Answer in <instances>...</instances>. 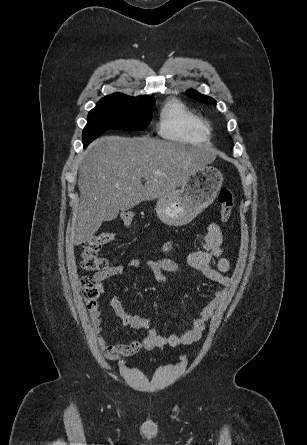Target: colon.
Returning <instances> with one entry per match:
<instances>
[{"label":"colon","mask_w":307,"mask_h":445,"mask_svg":"<svg viewBox=\"0 0 307 445\" xmlns=\"http://www.w3.org/2000/svg\"><path fill=\"white\" fill-rule=\"evenodd\" d=\"M218 202L220 204V220L225 222L229 219L233 209V195L230 189L222 188L218 194ZM124 223H131L133 216L130 212L122 215ZM114 239L111 232H102L91 237L84 244L81 252V266L87 271H103L108 268V261L99 256V251ZM168 246H164L167 250ZM82 292L89 309H93L97 305L100 295L98 284L92 276H86L82 279Z\"/></svg>","instance_id":"obj_1"}]
</instances>
